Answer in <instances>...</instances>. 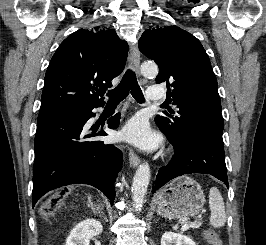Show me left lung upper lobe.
<instances>
[{"label": "left lung upper lobe", "mask_w": 266, "mask_h": 245, "mask_svg": "<svg viewBox=\"0 0 266 245\" xmlns=\"http://www.w3.org/2000/svg\"><path fill=\"white\" fill-rule=\"evenodd\" d=\"M138 46L158 64L156 83L166 82L170 101L179 109L170 112L173 115H157L159 128L174 142L192 128L222 133L217 79L200 41L183 29L170 26L146 30Z\"/></svg>", "instance_id": "left-lung-upper-lobe-1"}]
</instances>
